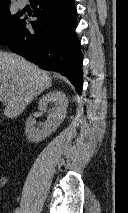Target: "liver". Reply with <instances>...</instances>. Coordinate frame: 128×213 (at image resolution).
<instances>
[{
	"mask_svg": "<svg viewBox=\"0 0 128 213\" xmlns=\"http://www.w3.org/2000/svg\"><path fill=\"white\" fill-rule=\"evenodd\" d=\"M52 85L48 73L19 55L0 51V97L4 115L18 117L25 107Z\"/></svg>",
	"mask_w": 128,
	"mask_h": 213,
	"instance_id": "obj_1",
	"label": "liver"
}]
</instances>
